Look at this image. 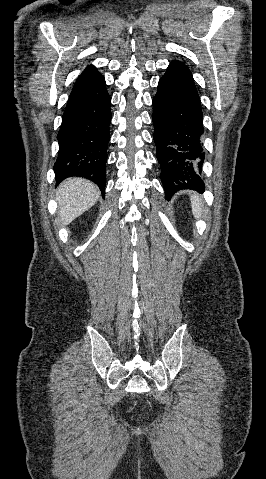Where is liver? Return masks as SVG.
<instances>
[{"instance_id":"liver-1","label":"liver","mask_w":266,"mask_h":479,"mask_svg":"<svg viewBox=\"0 0 266 479\" xmlns=\"http://www.w3.org/2000/svg\"><path fill=\"white\" fill-rule=\"evenodd\" d=\"M98 187L83 178H70L57 190L56 200L59 209V225L70 224L74 219L89 210L99 199Z\"/></svg>"}]
</instances>
